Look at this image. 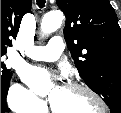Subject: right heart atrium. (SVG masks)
Returning <instances> with one entry per match:
<instances>
[{
    "instance_id": "1",
    "label": "right heart atrium",
    "mask_w": 121,
    "mask_h": 113,
    "mask_svg": "<svg viewBox=\"0 0 121 113\" xmlns=\"http://www.w3.org/2000/svg\"><path fill=\"white\" fill-rule=\"evenodd\" d=\"M8 102L13 110L22 113H37L44 109V103L20 83L10 87Z\"/></svg>"
}]
</instances>
